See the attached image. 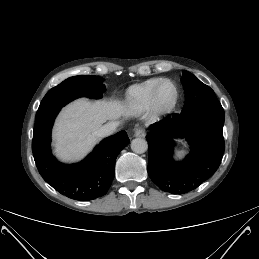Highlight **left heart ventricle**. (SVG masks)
<instances>
[{
	"instance_id": "b2bd125f",
	"label": "left heart ventricle",
	"mask_w": 259,
	"mask_h": 259,
	"mask_svg": "<svg viewBox=\"0 0 259 259\" xmlns=\"http://www.w3.org/2000/svg\"><path fill=\"white\" fill-rule=\"evenodd\" d=\"M174 99V89L171 85L165 84L159 91V101L162 105H169Z\"/></svg>"
}]
</instances>
